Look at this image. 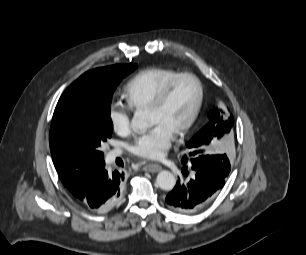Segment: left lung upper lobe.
Instances as JSON below:
<instances>
[{
  "label": "left lung upper lobe",
  "instance_id": "obj_1",
  "mask_svg": "<svg viewBox=\"0 0 306 255\" xmlns=\"http://www.w3.org/2000/svg\"><path fill=\"white\" fill-rule=\"evenodd\" d=\"M209 119V123L186 144L188 157L184 155L181 159H194V162L204 163L228 176L231 167L226 154L209 155L206 152L216 139H220L223 134L230 131L233 126V117L225 121L216 109L209 113Z\"/></svg>",
  "mask_w": 306,
  "mask_h": 255
}]
</instances>
